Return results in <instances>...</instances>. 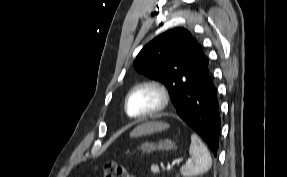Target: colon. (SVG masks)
I'll return each mask as SVG.
<instances>
[{"label": "colon", "instance_id": "colon-1", "mask_svg": "<svg viewBox=\"0 0 287 177\" xmlns=\"http://www.w3.org/2000/svg\"><path fill=\"white\" fill-rule=\"evenodd\" d=\"M99 177H135L126 167L113 161L106 162L97 171Z\"/></svg>", "mask_w": 287, "mask_h": 177}]
</instances>
